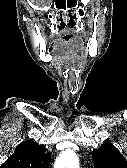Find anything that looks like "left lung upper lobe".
Instances as JSON below:
<instances>
[{
    "mask_svg": "<svg viewBox=\"0 0 127 168\" xmlns=\"http://www.w3.org/2000/svg\"><path fill=\"white\" fill-rule=\"evenodd\" d=\"M95 168H127V161L110 142L92 151Z\"/></svg>",
    "mask_w": 127,
    "mask_h": 168,
    "instance_id": "left-lung-upper-lobe-1",
    "label": "left lung upper lobe"
}]
</instances>
